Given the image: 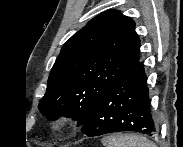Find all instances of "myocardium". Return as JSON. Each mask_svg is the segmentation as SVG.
Listing matches in <instances>:
<instances>
[{"label": "myocardium", "mask_w": 183, "mask_h": 147, "mask_svg": "<svg viewBox=\"0 0 183 147\" xmlns=\"http://www.w3.org/2000/svg\"><path fill=\"white\" fill-rule=\"evenodd\" d=\"M53 127L58 132H66L72 127L71 118L67 114H60L53 120Z\"/></svg>", "instance_id": "1"}]
</instances>
